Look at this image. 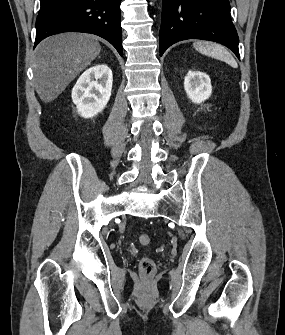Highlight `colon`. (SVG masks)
Wrapping results in <instances>:
<instances>
[{"label": "colon", "instance_id": "obj_1", "mask_svg": "<svg viewBox=\"0 0 285 335\" xmlns=\"http://www.w3.org/2000/svg\"><path fill=\"white\" fill-rule=\"evenodd\" d=\"M138 241L141 245L146 246L150 243V237L146 233H141L138 236ZM139 270L142 276L150 277L156 272V265L149 257H144L139 264Z\"/></svg>", "mask_w": 285, "mask_h": 335}]
</instances>
